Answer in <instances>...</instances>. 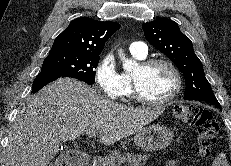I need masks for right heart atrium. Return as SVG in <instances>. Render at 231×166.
<instances>
[{"instance_id":"d8ad5b80","label":"right heart atrium","mask_w":231,"mask_h":166,"mask_svg":"<svg viewBox=\"0 0 231 166\" xmlns=\"http://www.w3.org/2000/svg\"><path fill=\"white\" fill-rule=\"evenodd\" d=\"M94 78L99 90L110 100H119L127 93L123 75L117 69L111 52L104 54L98 61Z\"/></svg>"}]
</instances>
